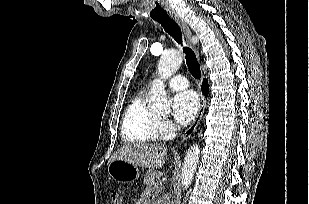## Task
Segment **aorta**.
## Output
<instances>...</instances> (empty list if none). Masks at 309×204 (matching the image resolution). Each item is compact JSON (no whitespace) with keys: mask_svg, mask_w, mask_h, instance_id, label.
I'll return each mask as SVG.
<instances>
[{"mask_svg":"<svg viewBox=\"0 0 309 204\" xmlns=\"http://www.w3.org/2000/svg\"><path fill=\"white\" fill-rule=\"evenodd\" d=\"M182 54L178 50L165 51L158 63V73L163 79L170 78L182 64ZM151 98L149 100V109L157 112H169L170 102L167 98L166 91L163 85H156L152 88ZM200 147L198 144H193L184 159L182 172V186L187 189L194 177V173L199 162Z\"/></svg>","mask_w":309,"mask_h":204,"instance_id":"obj_1","label":"aorta"}]
</instances>
